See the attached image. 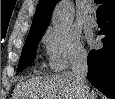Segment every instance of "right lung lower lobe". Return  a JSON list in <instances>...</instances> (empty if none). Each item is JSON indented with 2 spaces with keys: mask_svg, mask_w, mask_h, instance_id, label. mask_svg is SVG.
<instances>
[{
  "mask_svg": "<svg viewBox=\"0 0 115 99\" xmlns=\"http://www.w3.org/2000/svg\"><path fill=\"white\" fill-rule=\"evenodd\" d=\"M106 35L103 48L91 50L88 55V80L107 97L115 99V9L104 14Z\"/></svg>",
  "mask_w": 115,
  "mask_h": 99,
  "instance_id": "right-lung-lower-lobe-1",
  "label": "right lung lower lobe"
}]
</instances>
